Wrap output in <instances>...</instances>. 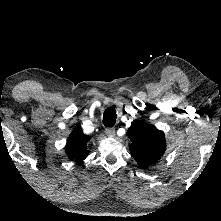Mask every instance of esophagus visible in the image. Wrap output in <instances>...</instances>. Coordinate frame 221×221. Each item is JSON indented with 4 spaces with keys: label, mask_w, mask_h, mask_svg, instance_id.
Masks as SVG:
<instances>
[{
    "label": "esophagus",
    "mask_w": 221,
    "mask_h": 221,
    "mask_svg": "<svg viewBox=\"0 0 221 221\" xmlns=\"http://www.w3.org/2000/svg\"><path fill=\"white\" fill-rule=\"evenodd\" d=\"M105 133L109 137H113L115 135V129L112 127L106 128Z\"/></svg>",
    "instance_id": "esophagus-1"
}]
</instances>
